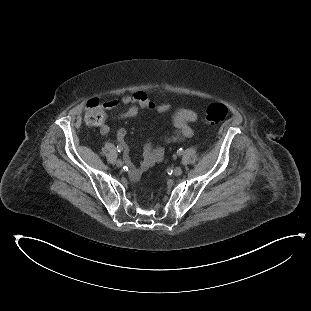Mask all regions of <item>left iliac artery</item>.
<instances>
[{"label": "left iliac artery", "mask_w": 311, "mask_h": 311, "mask_svg": "<svg viewBox=\"0 0 311 311\" xmlns=\"http://www.w3.org/2000/svg\"><path fill=\"white\" fill-rule=\"evenodd\" d=\"M183 154V149L180 148L178 151H177V155L181 156Z\"/></svg>", "instance_id": "left-iliac-artery-1"}]
</instances>
